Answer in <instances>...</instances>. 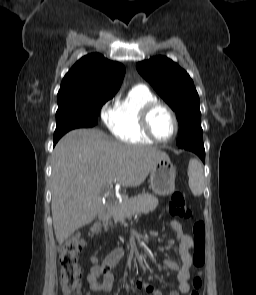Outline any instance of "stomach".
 <instances>
[{
    "label": "stomach",
    "instance_id": "obj_1",
    "mask_svg": "<svg viewBox=\"0 0 256 295\" xmlns=\"http://www.w3.org/2000/svg\"><path fill=\"white\" fill-rule=\"evenodd\" d=\"M176 169L170 158L164 157L157 161L151 170L150 186L155 194L167 196L175 190Z\"/></svg>",
    "mask_w": 256,
    "mask_h": 295
}]
</instances>
